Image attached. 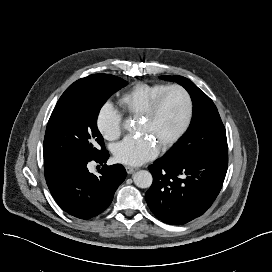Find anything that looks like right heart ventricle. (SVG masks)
I'll use <instances>...</instances> for the list:
<instances>
[{"label": "right heart ventricle", "mask_w": 272, "mask_h": 272, "mask_svg": "<svg viewBox=\"0 0 272 272\" xmlns=\"http://www.w3.org/2000/svg\"><path fill=\"white\" fill-rule=\"evenodd\" d=\"M166 87L168 85L163 83H137L119 97L118 103L130 117H141L152 100Z\"/></svg>", "instance_id": "right-heart-ventricle-1"}]
</instances>
